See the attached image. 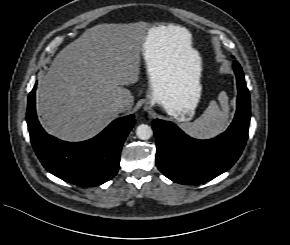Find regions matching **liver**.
<instances>
[{
	"instance_id": "obj_1",
	"label": "liver",
	"mask_w": 290,
	"mask_h": 245,
	"mask_svg": "<svg viewBox=\"0 0 290 245\" xmlns=\"http://www.w3.org/2000/svg\"><path fill=\"white\" fill-rule=\"evenodd\" d=\"M153 30L100 24L63 48L38 81L36 108L46 131L62 140L82 141L117 117V100L125 104L122 112H129L134 97L125 85L138 81L143 44ZM157 35L173 73H199V53L191 47L186 28L160 26Z\"/></svg>"
}]
</instances>
